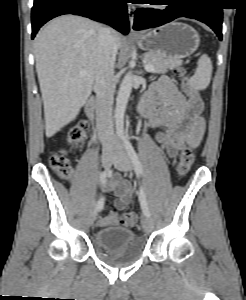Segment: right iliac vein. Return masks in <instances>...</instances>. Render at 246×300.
Wrapping results in <instances>:
<instances>
[{
    "mask_svg": "<svg viewBox=\"0 0 246 300\" xmlns=\"http://www.w3.org/2000/svg\"><path fill=\"white\" fill-rule=\"evenodd\" d=\"M115 158V153L113 152H104L102 154V165L104 168H109L112 161L114 160ZM96 215H97V212L96 210H93L90 215H89V223L92 224L93 221L95 220L96 218Z\"/></svg>",
    "mask_w": 246,
    "mask_h": 300,
    "instance_id": "right-iliac-vein-1",
    "label": "right iliac vein"
}]
</instances>
